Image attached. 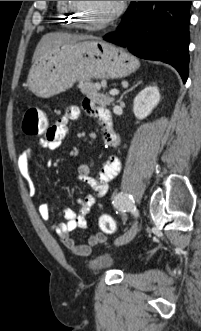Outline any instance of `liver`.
<instances>
[{"label":"liver","instance_id":"1","mask_svg":"<svg viewBox=\"0 0 201 331\" xmlns=\"http://www.w3.org/2000/svg\"><path fill=\"white\" fill-rule=\"evenodd\" d=\"M88 39H95V37L91 35H77L64 32L47 33L39 41L32 58V62H36L39 58L51 52L62 44L73 43Z\"/></svg>","mask_w":201,"mask_h":331}]
</instances>
